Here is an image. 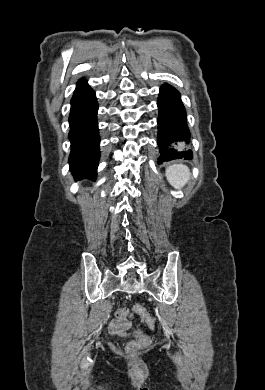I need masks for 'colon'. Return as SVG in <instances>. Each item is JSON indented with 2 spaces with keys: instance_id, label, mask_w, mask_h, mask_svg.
<instances>
[{
  "instance_id": "5ec220e1",
  "label": "colon",
  "mask_w": 265,
  "mask_h": 390,
  "mask_svg": "<svg viewBox=\"0 0 265 390\" xmlns=\"http://www.w3.org/2000/svg\"><path fill=\"white\" fill-rule=\"evenodd\" d=\"M134 312L137 313L144 322L148 325L149 328L155 327V321L150 313L146 310L145 307L137 304L134 306ZM131 312L128 309L121 308L116 311V317L122 320H128L131 317ZM148 342V338L142 332L137 331L135 333V339L128 343L126 349L129 353L137 351L139 348L144 346Z\"/></svg>"
}]
</instances>
